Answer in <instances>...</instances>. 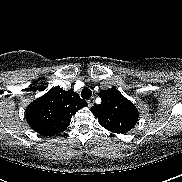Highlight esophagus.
Masks as SVG:
<instances>
[{"label": "esophagus", "instance_id": "1", "mask_svg": "<svg viewBox=\"0 0 182 182\" xmlns=\"http://www.w3.org/2000/svg\"><path fill=\"white\" fill-rule=\"evenodd\" d=\"M94 98H90L88 101H87V103H88V106L89 107H92L93 106V104H94Z\"/></svg>", "mask_w": 182, "mask_h": 182}]
</instances>
